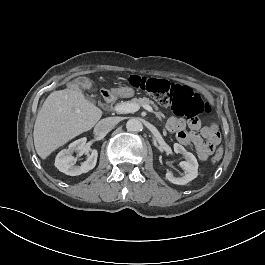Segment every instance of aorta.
I'll use <instances>...</instances> for the list:
<instances>
[{
    "instance_id": "aorta-1",
    "label": "aorta",
    "mask_w": 265,
    "mask_h": 265,
    "mask_svg": "<svg viewBox=\"0 0 265 265\" xmlns=\"http://www.w3.org/2000/svg\"><path fill=\"white\" fill-rule=\"evenodd\" d=\"M126 129L130 132H138L142 129V124L137 118H132L127 121Z\"/></svg>"
}]
</instances>
